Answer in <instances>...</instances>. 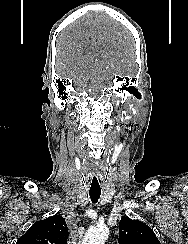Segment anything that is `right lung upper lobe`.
Returning a JSON list of instances; mask_svg holds the SVG:
<instances>
[{
    "label": "right lung upper lobe",
    "mask_w": 188,
    "mask_h": 244,
    "mask_svg": "<svg viewBox=\"0 0 188 244\" xmlns=\"http://www.w3.org/2000/svg\"><path fill=\"white\" fill-rule=\"evenodd\" d=\"M68 235L65 219L54 215L34 223L16 244H66Z\"/></svg>",
    "instance_id": "right-lung-upper-lobe-1"
}]
</instances>
